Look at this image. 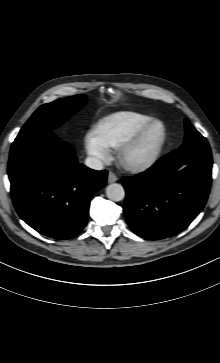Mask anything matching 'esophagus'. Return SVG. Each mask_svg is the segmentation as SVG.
Segmentation results:
<instances>
[{"label": "esophagus", "instance_id": "obj_1", "mask_svg": "<svg viewBox=\"0 0 220 363\" xmlns=\"http://www.w3.org/2000/svg\"><path fill=\"white\" fill-rule=\"evenodd\" d=\"M118 180L117 176L113 172L108 173V183H113Z\"/></svg>", "mask_w": 220, "mask_h": 363}]
</instances>
